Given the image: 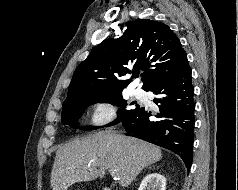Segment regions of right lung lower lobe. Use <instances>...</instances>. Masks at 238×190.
Wrapping results in <instances>:
<instances>
[{"instance_id": "98d812e1", "label": "right lung lower lobe", "mask_w": 238, "mask_h": 190, "mask_svg": "<svg viewBox=\"0 0 238 190\" xmlns=\"http://www.w3.org/2000/svg\"><path fill=\"white\" fill-rule=\"evenodd\" d=\"M147 91L158 95L153 102L158 104L160 113L153 115L141 107L121 121L123 127L134 137L178 154L189 171L193 160L195 103L188 61L178 72Z\"/></svg>"}]
</instances>
